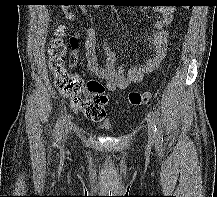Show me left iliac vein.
<instances>
[{
  "mask_svg": "<svg viewBox=\"0 0 217 197\" xmlns=\"http://www.w3.org/2000/svg\"><path fill=\"white\" fill-rule=\"evenodd\" d=\"M148 138L151 143L155 140L154 128L150 120H148Z\"/></svg>",
  "mask_w": 217,
  "mask_h": 197,
  "instance_id": "1",
  "label": "left iliac vein"
}]
</instances>
